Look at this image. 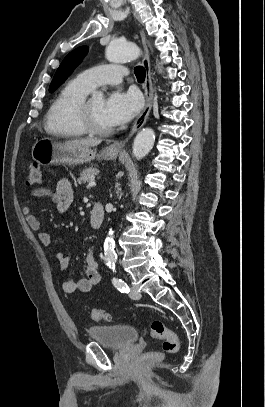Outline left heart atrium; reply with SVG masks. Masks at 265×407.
Segmentation results:
<instances>
[{"label":"left heart atrium","instance_id":"obj_1","mask_svg":"<svg viewBox=\"0 0 265 407\" xmlns=\"http://www.w3.org/2000/svg\"><path fill=\"white\" fill-rule=\"evenodd\" d=\"M140 96L135 92H113L104 101V114L111 126L129 122L141 109Z\"/></svg>","mask_w":265,"mask_h":407}]
</instances>
